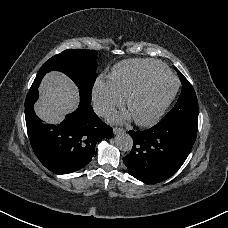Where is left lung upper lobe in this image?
<instances>
[{
	"label": "left lung upper lobe",
	"mask_w": 228,
	"mask_h": 228,
	"mask_svg": "<svg viewBox=\"0 0 228 228\" xmlns=\"http://www.w3.org/2000/svg\"><path fill=\"white\" fill-rule=\"evenodd\" d=\"M177 71L182 83V92L173 109L159 122L160 125L198 126V101L195 91L183 74Z\"/></svg>",
	"instance_id": "1"
}]
</instances>
